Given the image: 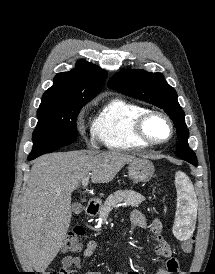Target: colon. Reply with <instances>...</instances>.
<instances>
[{
	"mask_svg": "<svg viewBox=\"0 0 215 274\" xmlns=\"http://www.w3.org/2000/svg\"><path fill=\"white\" fill-rule=\"evenodd\" d=\"M83 235V230L81 228H74L69 231L67 237L64 241L62 250L65 253H76L82 249V243L80 237ZM184 252L188 253L192 250L193 244L191 241H185L181 245ZM64 270L60 269L58 271L50 272L47 274H64Z\"/></svg>",
	"mask_w": 215,
	"mask_h": 274,
	"instance_id": "obj_1",
	"label": "colon"
}]
</instances>
